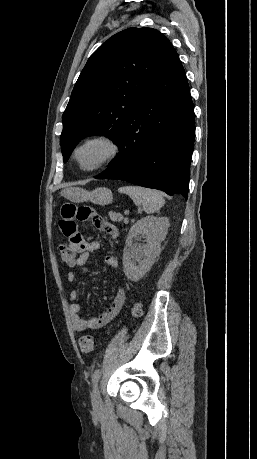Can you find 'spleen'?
<instances>
[{"label":"spleen","mask_w":257,"mask_h":459,"mask_svg":"<svg viewBox=\"0 0 257 459\" xmlns=\"http://www.w3.org/2000/svg\"><path fill=\"white\" fill-rule=\"evenodd\" d=\"M119 191L129 195L133 202L137 206H142L148 214L157 212L165 204L162 193L157 190L140 186H124Z\"/></svg>","instance_id":"spleen-1"}]
</instances>
